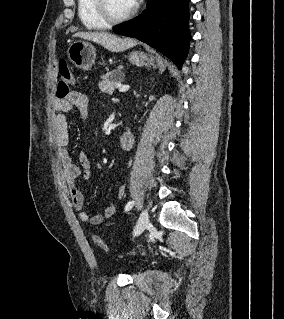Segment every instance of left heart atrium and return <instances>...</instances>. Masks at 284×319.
I'll list each match as a JSON object with an SVG mask.
<instances>
[{
    "label": "left heart atrium",
    "mask_w": 284,
    "mask_h": 319,
    "mask_svg": "<svg viewBox=\"0 0 284 319\" xmlns=\"http://www.w3.org/2000/svg\"><path fill=\"white\" fill-rule=\"evenodd\" d=\"M132 7H134L137 3V0H129Z\"/></svg>",
    "instance_id": "1"
}]
</instances>
